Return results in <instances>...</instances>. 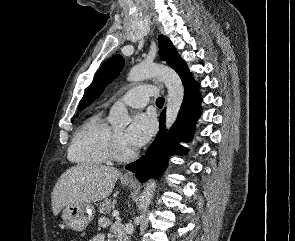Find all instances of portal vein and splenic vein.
<instances>
[{
    "label": "portal vein and splenic vein",
    "instance_id": "obj_1",
    "mask_svg": "<svg viewBox=\"0 0 295 241\" xmlns=\"http://www.w3.org/2000/svg\"><path fill=\"white\" fill-rule=\"evenodd\" d=\"M112 215H113L114 217H118V216H119V212H118V211H113Z\"/></svg>",
    "mask_w": 295,
    "mask_h": 241
}]
</instances>
